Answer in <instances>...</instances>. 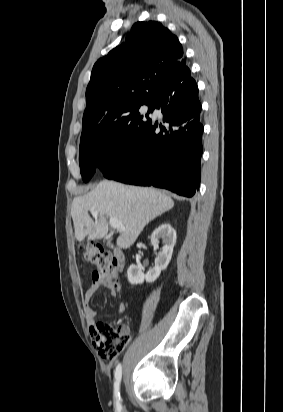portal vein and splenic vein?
<instances>
[{
	"mask_svg": "<svg viewBox=\"0 0 283 412\" xmlns=\"http://www.w3.org/2000/svg\"><path fill=\"white\" fill-rule=\"evenodd\" d=\"M90 212H91V214L93 215V217L97 218V216H98V212H97V211L92 210V211H90ZM109 223H110L111 227H113V228L116 229V230H119V231L124 230V227H123L122 223H121L118 219H116V218L110 217Z\"/></svg>",
	"mask_w": 283,
	"mask_h": 412,
	"instance_id": "portal-vein-and-splenic-vein-1",
	"label": "portal vein and splenic vein"
}]
</instances>
